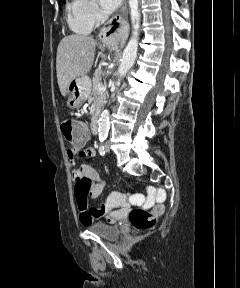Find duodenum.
<instances>
[{
  "mask_svg": "<svg viewBox=\"0 0 240 288\" xmlns=\"http://www.w3.org/2000/svg\"><path fill=\"white\" fill-rule=\"evenodd\" d=\"M100 111L96 110L92 115L91 128L94 134H98V125H99Z\"/></svg>",
  "mask_w": 240,
  "mask_h": 288,
  "instance_id": "1",
  "label": "duodenum"
}]
</instances>
